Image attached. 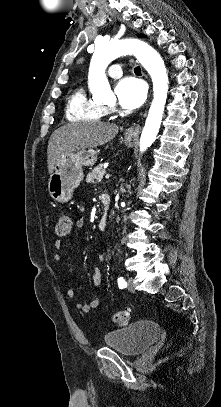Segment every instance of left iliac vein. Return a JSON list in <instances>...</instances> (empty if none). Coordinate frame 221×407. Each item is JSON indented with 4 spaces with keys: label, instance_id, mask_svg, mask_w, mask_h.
Listing matches in <instances>:
<instances>
[{
    "label": "left iliac vein",
    "instance_id": "1",
    "mask_svg": "<svg viewBox=\"0 0 221 407\" xmlns=\"http://www.w3.org/2000/svg\"><path fill=\"white\" fill-rule=\"evenodd\" d=\"M127 289H128V291H130V292H134V291H135V286H134L133 278H132V277H129V278H128Z\"/></svg>",
    "mask_w": 221,
    "mask_h": 407
}]
</instances>
